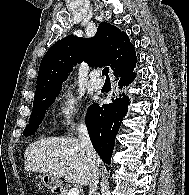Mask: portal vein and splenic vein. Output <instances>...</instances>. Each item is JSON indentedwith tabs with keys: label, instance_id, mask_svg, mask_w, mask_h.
Returning <instances> with one entry per match:
<instances>
[{
	"label": "portal vein and splenic vein",
	"instance_id": "portal-vein-and-splenic-vein-1",
	"mask_svg": "<svg viewBox=\"0 0 189 195\" xmlns=\"http://www.w3.org/2000/svg\"><path fill=\"white\" fill-rule=\"evenodd\" d=\"M68 195H79V190L77 188H72L69 190Z\"/></svg>",
	"mask_w": 189,
	"mask_h": 195
}]
</instances>
